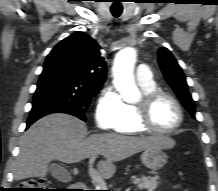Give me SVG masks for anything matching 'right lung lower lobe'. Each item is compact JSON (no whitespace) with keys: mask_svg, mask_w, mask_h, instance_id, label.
<instances>
[{"mask_svg":"<svg viewBox=\"0 0 218 191\" xmlns=\"http://www.w3.org/2000/svg\"><path fill=\"white\" fill-rule=\"evenodd\" d=\"M50 113H67L76 116L82 120L86 119L84 112H80L79 110H76L74 108L61 105L57 102H41L33 105L27 120V128L36 120Z\"/></svg>","mask_w":218,"mask_h":191,"instance_id":"obj_1","label":"right lung lower lobe"}]
</instances>
